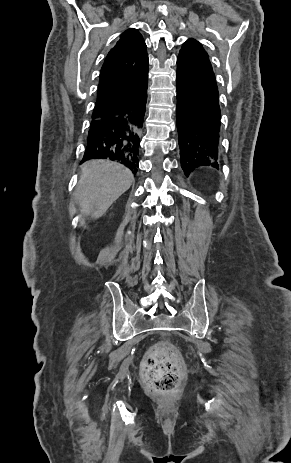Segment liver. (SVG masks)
Masks as SVG:
<instances>
[{
  "label": "liver",
  "instance_id": "1",
  "mask_svg": "<svg viewBox=\"0 0 291 463\" xmlns=\"http://www.w3.org/2000/svg\"><path fill=\"white\" fill-rule=\"evenodd\" d=\"M133 181L131 171L118 163L105 160L84 163L75 192L81 214L100 218Z\"/></svg>",
  "mask_w": 291,
  "mask_h": 463
}]
</instances>
